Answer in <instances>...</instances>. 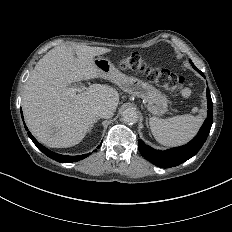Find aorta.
Wrapping results in <instances>:
<instances>
[{
	"mask_svg": "<svg viewBox=\"0 0 232 232\" xmlns=\"http://www.w3.org/2000/svg\"><path fill=\"white\" fill-rule=\"evenodd\" d=\"M139 119L138 112L135 108L129 107L122 112V120L127 124L137 123Z\"/></svg>",
	"mask_w": 232,
	"mask_h": 232,
	"instance_id": "762f6f07",
	"label": "aorta"
}]
</instances>
